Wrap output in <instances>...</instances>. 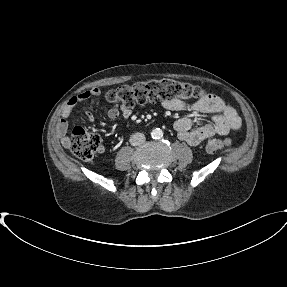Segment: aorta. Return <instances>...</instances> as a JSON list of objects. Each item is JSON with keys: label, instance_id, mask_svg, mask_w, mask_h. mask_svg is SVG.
<instances>
[{"label": "aorta", "instance_id": "1", "mask_svg": "<svg viewBox=\"0 0 287 287\" xmlns=\"http://www.w3.org/2000/svg\"><path fill=\"white\" fill-rule=\"evenodd\" d=\"M151 137L153 139H160V138H162L163 137L162 129H160V128L153 129L152 132H151Z\"/></svg>", "mask_w": 287, "mask_h": 287}]
</instances>
